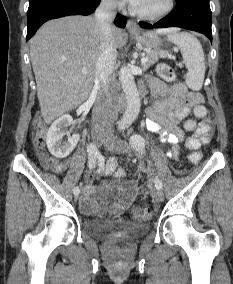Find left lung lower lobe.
<instances>
[{"mask_svg":"<svg viewBox=\"0 0 233 284\" xmlns=\"http://www.w3.org/2000/svg\"><path fill=\"white\" fill-rule=\"evenodd\" d=\"M142 28L181 27L203 33L212 42L211 10L209 0H177L175 9L166 17L151 25L139 22Z\"/></svg>","mask_w":233,"mask_h":284,"instance_id":"left-lung-lower-lobe-1","label":"left lung lower lobe"}]
</instances>
